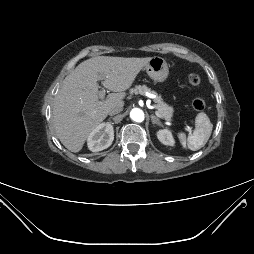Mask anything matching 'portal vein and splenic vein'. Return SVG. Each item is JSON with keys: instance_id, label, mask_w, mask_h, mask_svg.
Masks as SVG:
<instances>
[{"instance_id": "obj_1", "label": "portal vein and splenic vein", "mask_w": 254, "mask_h": 254, "mask_svg": "<svg viewBox=\"0 0 254 254\" xmlns=\"http://www.w3.org/2000/svg\"><path fill=\"white\" fill-rule=\"evenodd\" d=\"M98 79H99V80H104L105 78H104V76L99 75ZM98 96H99L100 99H103L104 96H105V90L100 91V92L98 93ZM155 114H156L159 118H162L161 114H160L158 111H156ZM186 129H187V131H189V132L192 131V128L189 127V126H187Z\"/></svg>"}]
</instances>
